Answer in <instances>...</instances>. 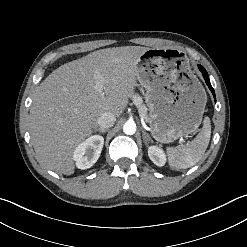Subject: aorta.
I'll list each match as a JSON object with an SVG mask.
<instances>
[{
	"instance_id": "aorta-1",
	"label": "aorta",
	"mask_w": 247,
	"mask_h": 247,
	"mask_svg": "<svg viewBox=\"0 0 247 247\" xmlns=\"http://www.w3.org/2000/svg\"><path fill=\"white\" fill-rule=\"evenodd\" d=\"M123 132L126 135H133L136 132V124L134 122L128 121L123 125Z\"/></svg>"
}]
</instances>
